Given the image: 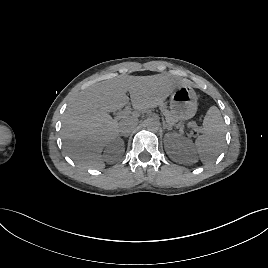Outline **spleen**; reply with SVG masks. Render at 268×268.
Instances as JSON below:
<instances>
[{
  "label": "spleen",
  "instance_id": "1",
  "mask_svg": "<svg viewBox=\"0 0 268 268\" xmlns=\"http://www.w3.org/2000/svg\"><path fill=\"white\" fill-rule=\"evenodd\" d=\"M225 141V124L216 106H211L203 120V133L195 141L200 160L208 165L220 154Z\"/></svg>",
  "mask_w": 268,
  "mask_h": 268
}]
</instances>
